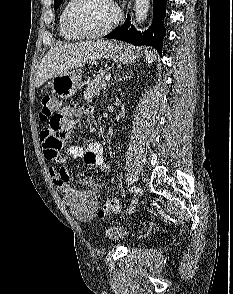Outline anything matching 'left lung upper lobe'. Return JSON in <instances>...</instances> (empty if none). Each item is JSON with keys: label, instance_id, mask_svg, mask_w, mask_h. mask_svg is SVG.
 I'll list each match as a JSON object with an SVG mask.
<instances>
[{"label": "left lung upper lobe", "instance_id": "left-lung-upper-lobe-1", "mask_svg": "<svg viewBox=\"0 0 233 294\" xmlns=\"http://www.w3.org/2000/svg\"><path fill=\"white\" fill-rule=\"evenodd\" d=\"M63 0H54V9L58 8Z\"/></svg>", "mask_w": 233, "mask_h": 294}]
</instances>
